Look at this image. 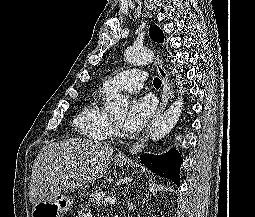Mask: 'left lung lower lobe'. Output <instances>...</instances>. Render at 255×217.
Returning <instances> with one entry per match:
<instances>
[{
	"label": "left lung lower lobe",
	"mask_w": 255,
	"mask_h": 217,
	"mask_svg": "<svg viewBox=\"0 0 255 217\" xmlns=\"http://www.w3.org/2000/svg\"><path fill=\"white\" fill-rule=\"evenodd\" d=\"M141 161L155 174L174 181L178 186L180 185L179 168L182 158L174 148L161 156L144 154L141 156Z\"/></svg>",
	"instance_id": "obj_1"
}]
</instances>
